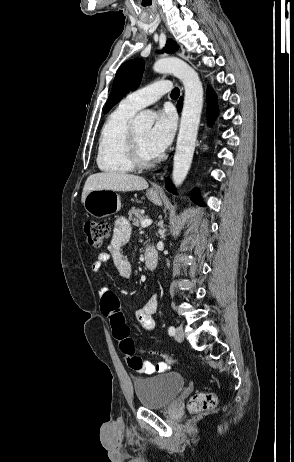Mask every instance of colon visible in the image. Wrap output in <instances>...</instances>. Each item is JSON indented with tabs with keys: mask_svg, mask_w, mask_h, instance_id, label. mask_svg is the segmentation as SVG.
Returning a JSON list of instances; mask_svg holds the SVG:
<instances>
[{
	"mask_svg": "<svg viewBox=\"0 0 294 462\" xmlns=\"http://www.w3.org/2000/svg\"><path fill=\"white\" fill-rule=\"evenodd\" d=\"M83 230L87 237L88 244L94 248H100L110 236V227L107 222L87 220L83 224ZM102 313L110 320L113 334L120 342L121 350L128 365L132 369L141 367L142 359L135 355V344L130 337V330L120 310L119 299L112 291L105 293L100 301ZM163 356L167 361L174 362L170 355L151 352ZM217 398L212 393H198L189 402V408L195 412L207 411L214 408Z\"/></svg>",
	"mask_w": 294,
	"mask_h": 462,
	"instance_id": "colon-1",
	"label": "colon"
}]
</instances>
